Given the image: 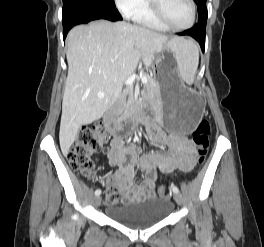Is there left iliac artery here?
<instances>
[{"mask_svg":"<svg viewBox=\"0 0 264 247\" xmlns=\"http://www.w3.org/2000/svg\"><path fill=\"white\" fill-rule=\"evenodd\" d=\"M172 191L174 193H179V189L176 186H172Z\"/></svg>","mask_w":264,"mask_h":247,"instance_id":"1","label":"left iliac artery"}]
</instances>
